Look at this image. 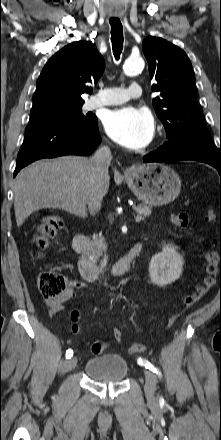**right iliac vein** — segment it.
Segmentation results:
<instances>
[{"label":"right iliac vein","mask_w":221,"mask_h":440,"mask_svg":"<svg viewBox=\"0 0 221 440\" xmlns=\"http://www.w3.org/2000/svg\"><path fill=\"white\" fill-rule=\"evenodd\" d=\"M76 364H77V358L76 357H73V358L67 360L64 363L63 372H67V371L73 369L76 366Z\"/></svg>","instance_id":"1"}]
</instances>
